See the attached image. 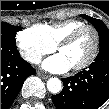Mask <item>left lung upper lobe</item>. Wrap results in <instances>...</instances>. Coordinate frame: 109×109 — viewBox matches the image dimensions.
I'll use <instances>...</instances> for the list:
<instances>
[{"instance_id": "5c2ea615", "label": "left lung upper lobe", "mask_w": 109, "mask_h": 109, "mask_svg": "<svg viewBox=\"0 0 109 109\" xmlns=\"http://www.w3.org/2000/svg\"><path fill=\"white\" fill-rule=\"evenodd\" d=\"M81 17L89 21L98 31L100 38V50L109 49V29L99 19L82 14Z\"/></svg>"}]
</instances>
